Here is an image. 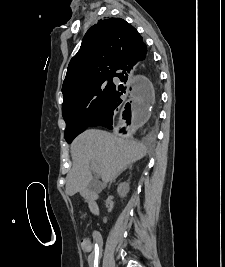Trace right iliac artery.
I'll return each mask as SVG.
<instances>
[{"label": "right iliac artery", "mask_w": 225, "mask_h": 267, "mask_svg": "<svg viewBox=\"0 0 225 267\" xmlns=\"http://www.w3.org/2000/svg\"><path fill=\"white\" fill-rule=\"evenodd\" d=\"M94 267H97V263L94 264Z\"/></svg>", "instance_id": "1"}]
</instances>
